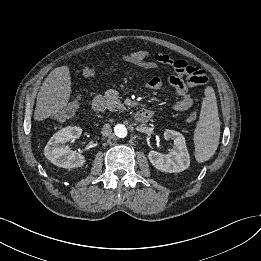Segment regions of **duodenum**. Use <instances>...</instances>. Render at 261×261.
Returning a JSON list of instances; mask_svg holds the SVG:
<instances>
[{
    "label": "duodenum",
    "mask_w": 261,
    "mask_h": 261,
    "mask_svg": "<svg viewBox=\"0 0 261 261\" xmlns=\"http://www.w3.org/2000/svg\"><path fill=\"white\" fill-rule=\"evenodd\" d=\"M92 109L95 112H99L103 109L102 97L98 96L94 98V100L92 101ZM151 116L152 111L150 109H141L135 113L134 119L137 124H143L146 123L151 118Z\"/></svg>",
    "instance_id": "1"
}]
</instances>
